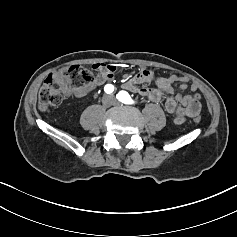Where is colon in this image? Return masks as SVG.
Instances as JSON below:
<instances>
[{
    "instance_id": "5ec220e1",
    "label": "colon",
    "mask_w": 237,
    "mask_h": 237,
    "mask_svg": "<svg viewBox=\"0 0 237 237\" xmlns=\"http://www.w3.org/2000/svg\"><path fill=\"white\" fill-rule=\"evenodd\" d=\"M109 69L107 64H98V69ZM95 74L80 65L67 66L58 72L49 74L39 91L38 106L40 110H46L52 106L59 105L63 100V89L69 87L74 90L85 89L95 80ZM201 117L196 115L194 122L199 123Z\"/></svg>"
}]
</instances>
